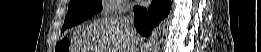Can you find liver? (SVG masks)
Returning a JSON list of instances; mask_svg holds the SVG:
<instances>
[{"label":"liver","instance_id":"liver-1","mask_svg":"<svg viewBox=\"0 0 261 52\" xmlns=\"http://www.w3.org/2000/svg\"><path fill=\"white\" fill-rule=\"evenodd\" d=\"M74 52H133L136 42L126 34L119 17H102L80 26L72 37Z\"/></svg>","mask_w":261,"mask_h":52}]
</instances>
